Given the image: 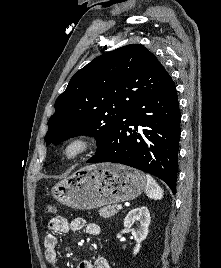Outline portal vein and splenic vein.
<instances>
[{
	"label": "portal vein and splenic vein",
	"instance_id": "portal-vein-and-splenic-vein-1",
	"mask_svg": "<svg viewBox=\"0 0 221 268\" xmlns=\"http://www.w3.org/2000/svg\"><path fill=\"white\" fill-rule=\"evenodd\" d=\"M117 209H118V210H121V209H122V205H118V206H117Z\"/></svg>",
	"mask_w": 221,
	"mask_h": 268
}]
</instances>
